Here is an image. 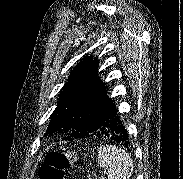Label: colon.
I'll list each match as a JSON object with an SVG mask.
<instances>
[{"instance_id":"obj_1","label":"colon","mask_w":183,"mask_h":179,"mask_svg":"<svg viewBox=\"0 0 183 179\" xmlns=\"http://www.w3.org/2000/svg\"><path fill=\"white\" fill-rule=\"evenodd\" d=\"M74 155L70 152H49L39 169L40 179H65L70 162Z\"/></svg>"}]
</instances>
